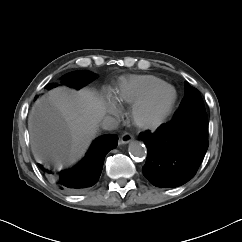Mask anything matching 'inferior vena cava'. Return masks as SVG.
Masks as SVG:
<instances>
[{
    "mask_svg": "<svg viewBox=\"0 0 242 242\" xmlns=\"http://www.w3.org/2000/svg\"><path fill=\"white\" fill-rule=\"evenodd\" d=\"M119 122L111 116H105L103 121H102V128L105 130H114L118 127Z\"/></svg>",
    "mask_w": 242,
    "mask_h": 242,
    "instance_id": "602c4592",
    "label": "inferior vena cava"
}]
</instances>
